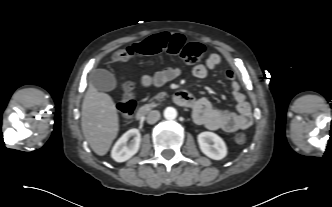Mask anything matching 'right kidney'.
<instances>
[{
	"label": "right kidney",
	"instance_id": "ca27d5eb",
	"mask_svg": "<svg viewBox=\"0 0 332 207\" xmlns=\"http://www.w3.org/2000/svg\"><path fill=\"white\" fill-rule=\"evenodd\" d=\"M131 138V142L129 143V145H127V141ZM140 142L141 136L139 130L135 128L128 130L118 139V141L113 146L111 151V157L116 162L127 161L138 152Z\"/></svg>",
	"mask_w": 332,
	"mask_h": 207
}]
</instances>
